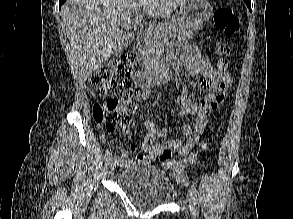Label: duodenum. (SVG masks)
<instances>
[{
    "mask_svg": "<svg viewBox=\"0 0 293 219\" xmlns=\"http://www.w3.org/2000/svg\"><path fill=\"white\" fill-rule=\"evenodd\" d=\"M146 40V32L144 30L138 32L136 38V51H140ZM171 76V70L165 65L148 67L138 71L134 76V82L139 87H148L154 84H163Z\"/></svg>",
    "mask_w": 293,
    "mask_h": 219,
    "instance_id": "410a0bca",
    "label": "duodenum"
}]
</instances>
